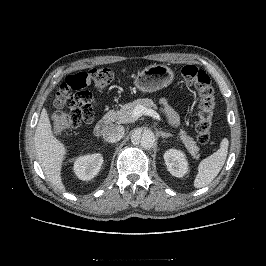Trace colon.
Returning a JSON list of instances; mask_svg holds the SVG:
<instances>
[{
    "mask_svg": "<svg viewBox=\"0 0 266 266\" xmlns=\"http://www.w3.org/2000/svg\"><path fill=\"white\" fill-rule=\"evenodd\" d=\"M180 73L183 81L199 93L200 109L196 132L198 141L201 144H207L212 138V125L216 111V94L212 81L205 71L195 65L184 66ZM114 80V72L107 67L69 75L61 84L55 99L57 107L65 105L67 110L56 111L53 131L60 134L68 128H78L82 124L92 123L97 100L87 90L88 84L92 82L98 89H107Z\"/></svg>",
    "mask_w": 266,
    "mask_h": 266,
    "instance_id": "1",
    "label": "colon"
}]
</instances>
